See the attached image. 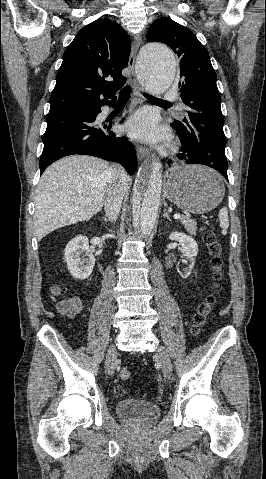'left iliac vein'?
Instances as JSON below:
<instances>
[{
    "instance_id": "1",
    "label": "left iliac vein",
    "mask_w": 266,
    "mask_h": 479,
    "mask_svg": "<svg viewBox=\"0 0 266 479\" xmlns=\"http://www.w3.org/2000/svg\"><path fill=\"white\" fill-rule=\"evenodd\" d=\"M156 355L160 359L164 376L166 378H169L170 375H171L172 366H171V361H170V358H169L167 352L163 349H159L156 352Z\"/></svg>"
}]
</instances>
